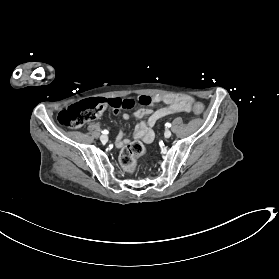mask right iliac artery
Instances as JSON below:
<instances>
[{
  "label": "right iliac artery",
  "mask_w": 279,
  "mask_h": 279,
  "mask_svg": "<svg viewBox=\"0 0 279 279\" xmlns=\"http://www.w3.org/2000/svg\"><path fill=\"white\" fill-rule=\"evenodd\" d=\"M102 133L103 134H108V131L107 130H103Z\"/></svg>",
  "instance_id": "1"
}]
</instances>
